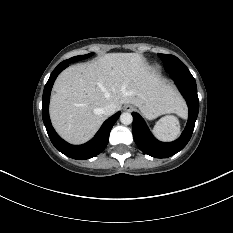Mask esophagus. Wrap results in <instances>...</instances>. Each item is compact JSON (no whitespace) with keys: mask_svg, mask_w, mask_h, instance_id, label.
<instances>
[{"mask_svg":"<svg viewBox=\"0 0 233 233\" xmlns=\"http://www.w3.org/2000/svg\"><path fill=\"white\" fill-rule=\"evenodd\" d=\"M124 110L127 112H130L133 110V106L131 104H125L124 105Z\"/></svg>","mask_w":233,"mask_h":233,"instance_id":"34e87169","label":"esophagus"}]
</instances>
